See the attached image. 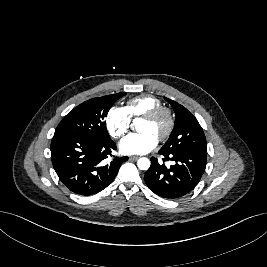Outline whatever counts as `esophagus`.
<instances>
[{
	"label": "esophagus",
	"instance_id": "1",
	"mask_svg": "<svg viewBox=\"0 0 267 267\" xmlns=\"http://www.w3.org/2000/svg\"><path fill=\"white\" fill-rule=\"evenodd\" d=\"M139 157L138 156H130L129 159L130 160H137Z\"/></svg>",
	"mask_w": 267,
	"mask_h": 267
}]
</instances>
